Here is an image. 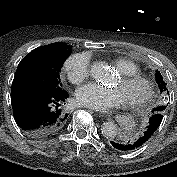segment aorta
I'll return each instance as SVG.
<instances>
[{"label": "aorta", "instance_id": "1", "mask_svg": "<svg viewBox=\"0 0 177 177\" xmlns=\"http://www.w3.org/2000/svg\"><path fill=\"white\" fill-rule=\"evenodd\" d=\"M90 73L96 81L108 82L111 79L110 70L102 62H95L94 64H92L90 68ZM101 130L102 134L106 138H114L118 132L116 124L112 121L103 123Z\"/></svg>", "mask_w": 177, "mask_h": 177}]
</instances>
